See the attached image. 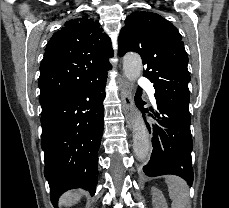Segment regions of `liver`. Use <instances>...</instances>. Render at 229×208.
Returning a JSON list of instances; mask_svg holds the SVG:
<instances>
[{
  "instance_id": "obj_1",
  "label": "liver",
  "mask_w": 229,
  "mask_h": 208,
  "mask_svg": "<svg viewBox=\"0 0 229 208\" xmlns=\"http://www.w3.org/2000/svg\"><path fill=\"white\" fill-rule=\"evenodd\" d=\"M81 194H84L82 190H76V192H74V190H71V192H65L59 200V206H66V208H68V206L77 204L78 200H80Z\"/></svg>"
}]
</instances>
